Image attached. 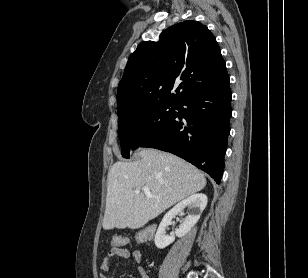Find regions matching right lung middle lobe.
<instances>
[{"label":"right lung middle lobe","instance_id":"obj_1","mask_svg":"<svg viewBox=\"0 0 308 278\" xmlns=\"http://www.w3.org/2000/svg\"><path fill=\"white\" fill-rule=\"evenodd\" d=\"M178 104L159 103L136 110L119 121L118 134L122 155L130 157V151L165 128L176 116Z\"/></svg>","mask_w":308,"mask_h":278}]
</instances>
